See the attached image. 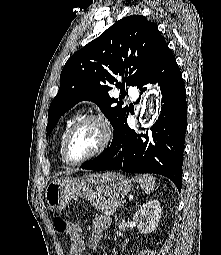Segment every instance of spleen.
<instances>
[{
  "label": "spleen",
  "mask_w": 221,
  "mask_h": 255,
  "mask_svg": "<svg viewBox=\"0 0 221 255\" xmlns=\"http://www.w3.org/2000/svg\"><path fill=\"white\" fill-rule=\"evenodd\" d=\"M134 182H137L140 184V186L143 188V190L150 194L154 191L155 188V178L150 174H144V175H137L132 178Z\"/></svg>",
  "instance_id": "spleen-1"
}]
</instances>
